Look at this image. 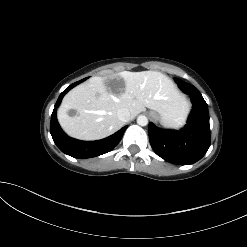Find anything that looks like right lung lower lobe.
Listing matches in <instances>:
<instances>
[{"label":"right lung lower lobe","instance_id":"right-lung-lower-lobe-1","mask_svg":"<svg viewBox=\"0 0 247 247\" xmlns=\"http://www.w3.org/2000/svg\"><path fill=\"white\" fill-rule=\"evenodd\" d=\"M85 79H82L78 82H75L71 84L66 90H64L56 104L55 108L53 110V113L51 115V124H50V133L53 138V141L57 145V147L64 152L65 154L72 156L74 158L79 159H85V158H91L96 157L102 154H105L112 150L121 140L127 126H124L122 129H120L115 134L102 139L98 141H80L73 139L69 136H67L63 130L60 128L59 123L56 118V109L61 103V100L63 96L74 86L77 84L83 82Z\"/></svg>","mask_w":247,"mask_h":247}]
</instances>
